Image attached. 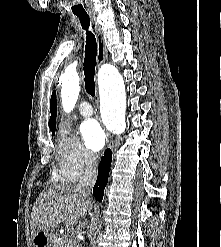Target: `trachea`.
Here are the masks:
<instances>
[{
	"instance_id": "obj_1",
	"label": "trachea",
	"mask_w": 221,
	"mask_h": 247,
	"mask_svg": "<svg viewBox=\"0 0 221 247\" xmlns=\"http://www.w3.org/2000/svg\"><path fill=\"white\" fill-rule=\"evenodd\" d=\"M80 20L81 26L86 30V45H85V58L83 63L84 82L87 93L91 96L95 95V66L97 56L96 38L93 33L88 31L90 26V19L88 15L76 14Z\"/></svg>"
}]
</instances>
